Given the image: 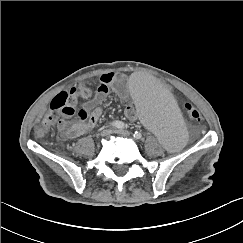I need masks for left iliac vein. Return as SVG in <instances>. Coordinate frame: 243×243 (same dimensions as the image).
Returning a JSON list of instances; mask_svg holds the SVG:
<instances>
[{"label": "left iliac vein", "instance_id": "4c4485c4", "mask_svg": "<svg viewBox=\"0 0 243 243\" xmlns=\"http://www.w3.org/2000/svg\"><path fill=\"white\" fill-rule=\"evenodd\" d=\"M114 133L119 134L121 136H125V137L130 136V132L127 130L116 129V130H114Z\"/></svg>", "mask_w": 243, "mask_h": 243}]
</instances>
